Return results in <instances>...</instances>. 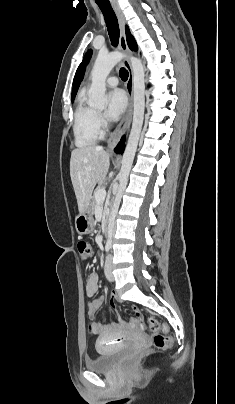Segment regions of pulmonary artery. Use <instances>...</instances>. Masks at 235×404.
Masks as SVG:
<instances>
[{
	"label": "pulmonary artery",
	"instance_id": "e3ab8cb5",
	"mask_svg": "<svg viewBox=\"0 0 235 404\" xmlns=\"http://www.w3.org/2000/svg\"><path fill=\"white\" fill-rule=\"evenodd\" d=\"M106 84L110 87H115L118 85V78L115 76H110L106 79Z\"/></svg>",
	"mask_w": 235,
	"mask_h": 404
}]
</instances>
